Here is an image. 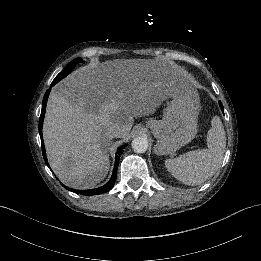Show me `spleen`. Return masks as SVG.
<instances>
[{
	"instance_id": "obj_1",
	"label": "spleen",
	"mask_w": 261,
	"mask_h": 261,
	"mask_svg": "<svg viewBox=\"0 0 261 261\" xmlns=\"http://www.w3.org/2000/svg\"><path fill=\"white\" fill-rule=\"evenodd\" d=\"M208 148L189 150L174 159H164L166 170L186 185H200L215 174L226 147L225 131L218 117L207 134Z\"/></svg>"
}]
</instances>
